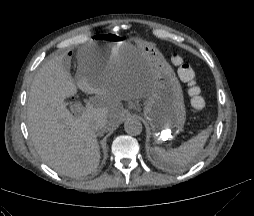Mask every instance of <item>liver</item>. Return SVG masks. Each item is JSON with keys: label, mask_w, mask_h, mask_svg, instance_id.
Wrapping results in <instances>:
<instances>
[{"label": "liver", "mask_w": 254, "mask_h": 216, "mask_svg": "<svg viewBox=\"0 0 254 216\" xmlns=\"http://www.w3.org/2000/svg\"><path fill=\"white\" fill-rule=\"evenodd\" d=\"M91 48L90 43L78 53L75 81L68 72L66 54L48 60L36 73L27 102L28 130L36 151L55 171L71 177L87 175L99 165L93 124L103 119L107 129L115 127L123 113L122 100L147 99L152 89L151 71L145 63L104 71L91 80L87 75ZM77 87L95 96L74 116L65 99L75 95Z\"/></svg>", "instance_id": "6515ba94"}]
</instances>
